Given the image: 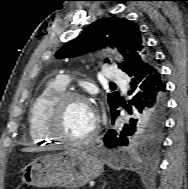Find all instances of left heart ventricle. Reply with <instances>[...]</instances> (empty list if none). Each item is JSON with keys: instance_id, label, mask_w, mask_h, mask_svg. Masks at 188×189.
<instances>
[{"instance_id": "b2bd125f", "label": "left heart ventricle", "mask_w": 188, "mask_h": 189, "mask_svg": "<svg viewBox=\"0 0 188 189\" xmlns=\"http://www.w3.org/2000/svg\"><path fill=\"white\" fill-rule=\"evenodd\" d=\"M96 123L91 106L82 101L70 102L63 113L60 130L71 138H82L90 133Z\"/></svg>"}]
</instances>
